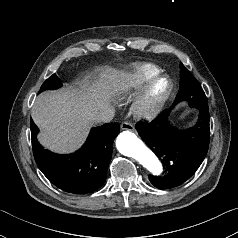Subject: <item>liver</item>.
<instances>
[{"label": "liver", "instance_id": "1", "mask_svg": "<svg viewBox=\"0 0 238 238\" xmlns=\"http://www.w3.org/2000/svg\"><path fill=\"white\" fill-rule=\"evenodd\" d=\"M128 80L124 72L106 67L100 69L95 82L41 93L31 110L32 119L41 130L40 143L57 153L80 148L96 123L94 116L112 108L110 100L127 87Z\"/></svg>", "mask_w": 238, "mask_h": 238}]
</instances>
